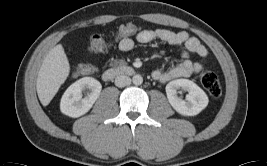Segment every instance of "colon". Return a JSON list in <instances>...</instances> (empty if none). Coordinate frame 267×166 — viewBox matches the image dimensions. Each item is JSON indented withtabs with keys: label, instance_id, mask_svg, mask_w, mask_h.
<instances>
[{
	"label": "colon",
	"instance_id": "5ec220e1",
	"mask_svg": "<svg viewBox=\"0 0 267 166\" xmlns=\"http://www.w3.org/2000/svg\"><path fill=\"white\" fill-rule=\"evenodd\" d=\"M139 27L137 23L130 21L126 25H114L111 28V36L114 39H124L128 35L133 36L137 34ZM110 43L105 38L99 35H93L88 39V49L93 52L106 51ZM94 68L90 65L83 64L77 69V72L82 75L91 74ZM201 84L209 95L213 98H219L222 95V86L217 76L209 70H201L199 73Z\"/></svg>",
	"mask_w": 267,
	"mask_h": 166
}]
</instances>
